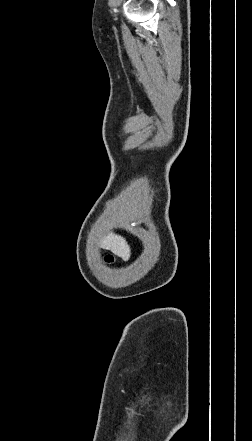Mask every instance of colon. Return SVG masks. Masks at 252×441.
<instances>
[{"label": "colon", "instance_id": "obj_1", "mask_svg": "<svg viewBox=\"0 0 252 441\" xmlns=\"http://www.w3.org/2000/svg\"><path fill=\"white\" fill-rule=\"evenodd\" d=\"M105 260H106L107 263H113V261H114V257H113V255L108 254V255L105 257Z\"/></svg>", "mask_w": 252, "mask_h": 441}]
</instances>
